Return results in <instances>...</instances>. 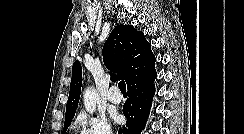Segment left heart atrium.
Listing matches in <instances>:
<instances>
[{"instance_id": "left-heart-atrium-1", "label": "left heart atrium", "mask_w": 244, "mask_h": 134, "mask_svg": "<svg viewBox=\"0 0 244 134\" xmlns=\"http://www.w3.org/2000/svg\"><path fill=\"white\" fill-rule=\"evenodd\" d=\"M114 119H115V121H118L119 117L118 116H114Z\"/></svg>"}]
</instances>
